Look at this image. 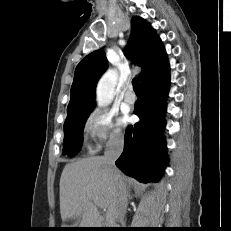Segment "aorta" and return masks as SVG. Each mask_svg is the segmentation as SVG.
<instances>
[{
  "mask_svg": "<svg viewBox=\"0 0 231 231\" xmlns=\"http://www.w3.org/2000/svg\"><path fill=\"white\" fill-rule=\"evenodd\" d=\"M116 82L117 74L114 70H108L101 77L96 88V102L98 106L104 107L112 102Z\"/></svg>",
  "mask_w": 231,
  "mask_h": 231,
  "instance_id": "762f6f07",
  "label": "aorta"
}]
</instances>
